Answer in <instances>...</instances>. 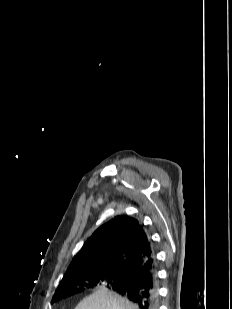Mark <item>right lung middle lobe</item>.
I'll return each instance as SVG.
<instances>
[{
    "label": "right lung middle lobe",
    "mask_w": 232,
    "mask_h": 309,
    "mask_svg": "<svg viewBox=\"0 0 232 309\" xmlns=\"http://www.w3.org/2000/svg\"><path fill=\"white\" fill-rule=\"evenodd\" d=\"M127 282V275L117 271H87L74 275L72 278L59 284L52 302L74 295L86 288L104 286L113 288Z\"/></svg>",
    "instance_id": "right-lung-middle-lobe-1"
}]
</instances>
